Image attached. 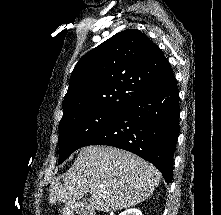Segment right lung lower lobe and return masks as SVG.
<instances>
[{"label": "right lung lower lobe", "mask_w": 221, "mask_h": 215, "mask_svg": "<svg viewBox=\"0 0 221 215\" xmlns=\"http://www.w3.org/2000/svg\"><path fill=\"white\" fill-rule=\"evenodd\" d=\"M179 115V93L172 74L154 91L124 108L114 122L81 147L109 145L130 151L152 163L171 183Z\"/></svg>", "instance_id": "98d812e1"}]
</instances>
